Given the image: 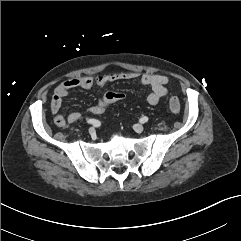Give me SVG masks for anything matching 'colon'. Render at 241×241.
Masks as SVG:
<instances>
[{
  "instance_id": "1",
  "label": "colon",
  "mask_w": 241,
  "mask_h": 241,
  "mask_svg": "<svg viewBox=\"0 0 241 241\" xmlns=\"http://www.w3.org/2000/svg\"><path fill=\"white\" fill-rule=\"evenodd\" d=\"M103 98L106 101H122L125 95L122 92L108 91L104 93ZM168 106L171 112L178 113L180 111V101L177 97H171L168 102Z\"/></svg>"
}]
</instances>
